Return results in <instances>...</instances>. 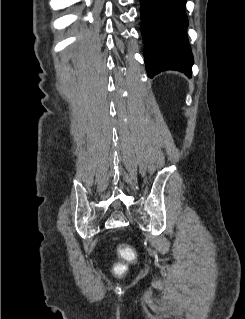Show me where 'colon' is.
Listing matches in <instances>:
<instances>
[{
  "label": "colon",
  "instance_id": "5ec220e1",
  "mask_svg": "<svg viewBox=\"0 0 245 319\" xmlns=\"http://www.w3.org/2000/svg\"><path fill=\"white\" fill-rule=\"evenodd\" d=\"M119 254H120V256H122L123 258H125L126 260H129V261H134L136 259L135 252L129 246H121L119 248ZM115 270L118 272H123L124 268L123 267H116Z\"/></svg>",
  "mask_w": 245,
  "mask_h": 319
}]
</instances>
